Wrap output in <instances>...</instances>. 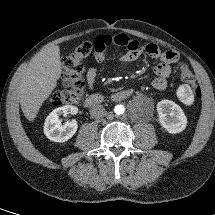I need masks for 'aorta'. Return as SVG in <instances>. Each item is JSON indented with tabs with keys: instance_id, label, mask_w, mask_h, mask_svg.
I'll list each match as a JSON object with an SVG mask.
<instances>
[{
	"instance_id": "aorta-1",
	"label": "aorta",
	"mask_w": 215,
	"mask_h": 215,
	"mask_svg": "<svg viewBox=\"0 0 215 215\" xmlns=\"http://www.w3.org/2000/svg\"><path fill=\"white\" fill-rule=\"evenodd\" d=\"M115 113L117 114V115H122L123 113H124V111H125V108L122 106V105H117L116 107H115Z\"/></svg>"
}]
</instances>
